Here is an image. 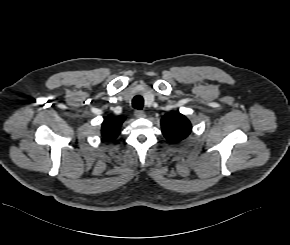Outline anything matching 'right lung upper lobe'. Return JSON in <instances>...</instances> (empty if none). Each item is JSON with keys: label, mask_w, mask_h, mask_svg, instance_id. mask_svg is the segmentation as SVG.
Returning a JSON list of instances; mask_svg holds the SVG:
<instances>
[{"label": "right lung upper lobe", "mask_w": 290, "mask_h": 245, "mask_svg": "<svg viewBox=\"0 0 290 245\" xmlns=\"http://www.w3.org/2000/svg\"><path fill=\"white\" fill-rule=\"evenodd\" d=\"M125 117H106L102 123L101 134L106 140L115 139L120 133V127Z\"/></svg>", "instance_id": "right-lung-upper-lobe-1"}]
</instances>
